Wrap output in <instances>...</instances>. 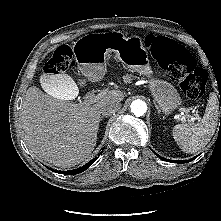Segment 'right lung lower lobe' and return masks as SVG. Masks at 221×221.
Returning <instances> with one entry per match:
<instances>
[{"label": "right lung lower lobe", "instance_id": "right-lung-lower-lobe-1", "mask_svg": "<svg viewBox=\"0 0 221 221\" xmlns=\"http://www.w3.org/2000/svg\"><path fill=\"white\" fill-rule=\"evenodd\" d=\"M102 153V151H101ZM97 160V157L96 158H93L91 161H89L87 164H85L84 166L80 167V168H77L75 170H69V171H57V170H54V169H51L53 172H58V173H63V174H67V175H75V174H78V173H81L83 171H85L90 165H92L95 161ZM48 168V167H47Z\"/></svg>", "mask_w": 221, "mask_h": 221}]
</instances>
